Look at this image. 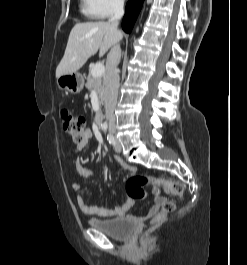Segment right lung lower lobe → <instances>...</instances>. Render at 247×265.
<instances>
[{
    "label": "right lung lower lobe",
    "instance_id": "1",
    "mask_svg": "<svg viewBox=\"0 0 247 265\" xmlns=\"http://www.w3.org/2000/svg\"><path fill=\"white\" fill-rule=\"evenodd\" d=\"M143 0H130L125 8V16L122 21V28L126 33H130L136 18L142 7Z\"/></svg>",
    "mask_w": 247,
    "mask_h": 265
}]
</instances>
